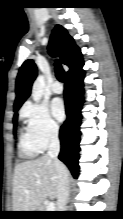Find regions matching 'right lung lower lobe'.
Returning a JSON list of instances; mask_svg holds the SVG:
<instances>
[{"label": "right lung lower lobe", "instance_id": "right-lung-lower-lobe-1", "mask_svg": "<svg viewBox=\"0 0 123 219\" xmlns=\"http://www.w3.org/2000/svg\"><path fill=\"white\" fill-rule=\"evenodd\" d=\"M83 63L74 71L66 76L64 89L65 107L67 119L60 128L61 151L59 159L70 169L72 175L77 178L79 174V142H80V124L81 107L83 98V78L85 72L82 69Z\"/></svg>", "mask_w": 123, "mask_h": 219}]
</instances>
